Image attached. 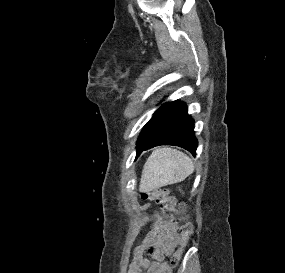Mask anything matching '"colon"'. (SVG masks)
<instances>
[{
  "instance_id": "colon-1",
  "label": "colon",
  "mask_w": 285,
  "mask_h": 273,
  "mask_svg": "<svg viewBox=\"0 0 285 273\" xmlns=\"http://www.w3.org/2000/svg\"><path fill=\"white\" fill-rule=\"evenodd\" d=\"M142 200L153 201L160 205V207L169 212H177L176 200L170 195L169 190L166 188H155L145 190L140 195ZM183 224L180 227V246L179 249L173 254L170 260V264L162 269L161 273H172V269L178 264L183 254L185 247L189 241L192 233V225L188 221L187 217L181 215L179 218Z\"/></svg>"
}]
</instances>
